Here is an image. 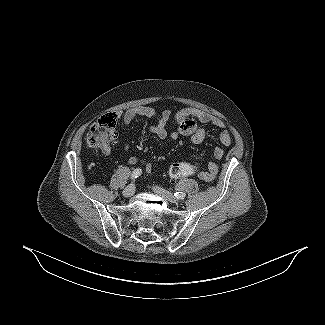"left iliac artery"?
<instances>
[{"label": "left iliac artery", "mask_w": 325, "mask_h": 325, "mask_svg": "<svg viewBox=\"0 0 325 325\" xmlns=\"http://www.w3.org/2000/svg\"><path fill=\"white\" fill-rule=\"evenodd\" d=\"M174 195L178 198V199H184L186 194L183 192H176L174 193Z\"/></svg>", "instance_id": "obj_1"}]
</instances>
